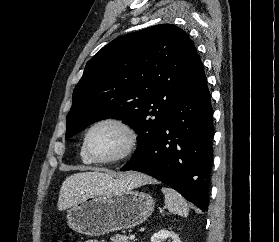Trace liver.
<instances>
[{"label":"liver","instance_id":"obj_1","mask_svg":"<svg viewBox=\"0 0 279 242\" xmlns=\"http://www.w3.org/2000/svg\"><path fill=\"white\" fill-rule=\"evenodd\" d=\"M152 182H154L152 178L141 174L114 179L112 175L101 172L76 173L67 177L62 183L57 207L58 210H65L81 199L92 195L117 189H133Z\"/></svg>","mask_w":279,"mask_h":242}]
</instances>
